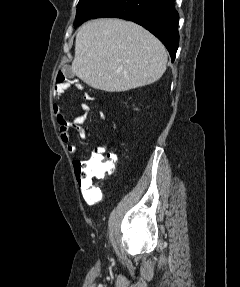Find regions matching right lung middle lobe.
<instances>
[{"label": "right lung middle lobe", "mask_w": 240, "mask_h": 287, "mask_svg": "<svg viewBox=\"0 0 240 287\" xmlns=\"http://www.w3.org/2000/svg\"><path fill=\"white\" fill-rule=\"evenodd\" d=\"M108 0H80L78 3L77 14L74 27L91 19Z\"/></svg>", "instance_id": "right-lung-middle-lobe-1"}]
</instances>
